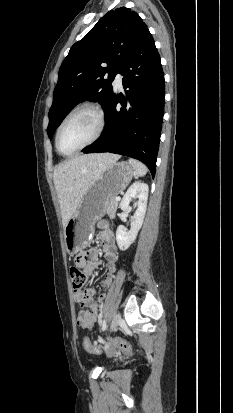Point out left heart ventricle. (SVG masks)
Returning a JSON list of instances; mask_svg holds the SVG:
<instances>
[{
  "label": "left heart ventricle",
  "instance_id": "1",
  "mask_svg": "<svg viewBox=\"0 0 233 413\" xmlns=\"http://www.w3.org/2000/svg\"><path fill=\"white\" fill-rule=\"evenodd\" d=\"M98 127L94 113L82 111L72 117L63 127L59 146L62 152L71 153L93 138Z\"/></svg>",
  "mask_w": 233,
  "mask_h": 413
}]
</instances>
